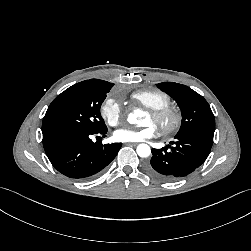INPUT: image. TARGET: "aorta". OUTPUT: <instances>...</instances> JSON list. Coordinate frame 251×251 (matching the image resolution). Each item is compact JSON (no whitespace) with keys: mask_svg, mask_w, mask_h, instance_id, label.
<instances>
[{"mask_svg":"<svg viewBox=\"0 0 251 251\" xmlns=\"http://www.w3.org/2000/svg\"><path fill=\"white\" fill-rule=\"evenodd\" d=\"M141 115H142L141 110H138V109L134 110L133 113H130L128 115L127 120L130 124H136L137 118L140 117ZM136 151H137V154L143 158L148 157L151 154V149H150L149 145H147V144H139L137 146Z\"/></svg>","mask_w":251,"mask_h":251,"instance_id":"obj_1","label":"aorta"}]
</instances>
